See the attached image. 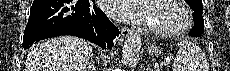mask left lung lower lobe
<instances>
[{"instance_id":"left-lung-lower-lobe-1","label":"left lung lower lobe","mask_w":230,"mask_h":71,"mask_svg":"<svg viewBox=\"0 0 230 71\" xmlns=\"http://www.w3.org/2000/svg\"><path fill=\"white\" fill-rule=\"evenodd\" d=\"M193 17H194V27L192 31L189 33V35L194 37L200 36L204 31V20L202 14L194 13Z\"/></svg>"}]
</instances>
